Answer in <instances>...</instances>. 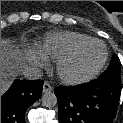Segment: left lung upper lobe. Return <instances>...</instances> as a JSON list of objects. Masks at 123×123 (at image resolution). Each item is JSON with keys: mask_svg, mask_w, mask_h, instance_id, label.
Wrapping results in <instances>:
<instances>
[{"mask_svg": "<svg viewBox=\"0 0 123 123\" xmlns=\"http://www.w3.org/2000/svg\"><path fill=\"white\" fill-rule=\"evenodd\" d=\"M120 78H121V62L117 57V55H113L109 67L102 75H100L98 79L120 83Z\"/></svg>", "mask_w": 123, "mask_h": 123, "instance_id": "obj_1", "label": "left lung upper lobe"}]
</instances>
